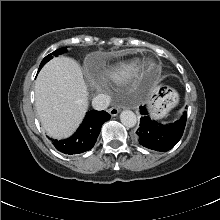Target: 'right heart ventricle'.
Here are the masks:
<instances>
[{"mask_svg": "<svg viewBox=\"0 0 220 220\" xmlns=\"http://www.w3.org/2000/svg\"><path fill=\"white\" fill-rule=\"evenodd\" d=\"M136 65L137 60L120 62L103 69L99 77L105 82L122 84L133 75Z\"/></svg>", "mask_w": 220, "mask_h": 220, "instance_id": "1", "label": "right heart ventricle"}]
</instances>
